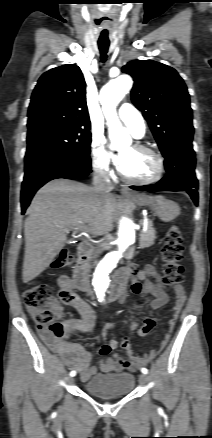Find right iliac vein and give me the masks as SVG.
Segmentation results:
<instances>
[{
	"instance_id": "1",
	"label": "right iliac vein",
	"mask_w": 212,
	"mask_h": 438,
	"mask_svg": "<svg viewBox=\"0 0 212 438\" xmlns=\"http://www.w3.org/2000/svg\"><path fill=\"white\" fill-rule=\"evenodd\" d=\"M68 382H69V383H73V382H74V378H73V377H70V378L68 379Z\"/></svg>"
}]
</instances>
